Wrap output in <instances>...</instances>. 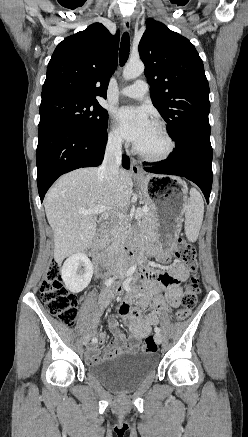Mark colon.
I'll return each instance as SVG.
<instances>
[{
  "instance_id": "colon-1",
  "label": "colon",
  "mask_w": 248,
  "mask_h": 437,
  "mask_svg": "<svg viewBox=\"0 0 248 437\" xmlns=\"http://www.w3.org/2000/svg\"><path fill=\"white\" fill-rule=\"evenodd\" d=\"M174 246L177 258L192 272V276L182 297V307L176 312V319L183 321L188 318L191 310L196 306L200 293L196 251L193 245L181 237L176 238ZM40 295L50 314L59 318L68 326L74 325L77 319L78 299L65 288L61 274V266L58 263L53 262L49 265L40 285ZM157 348L158 346L154 337L151 335L147 336L142 345V351L145 353L155 352Z\"/></svg>"
}]
</instances>
